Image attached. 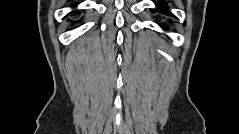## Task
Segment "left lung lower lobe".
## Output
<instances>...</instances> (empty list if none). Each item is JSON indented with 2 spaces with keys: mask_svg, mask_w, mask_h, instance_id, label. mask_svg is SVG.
Instances as JSON below:
<instances>
[{
  "mask_svg": "<svg viewBox=\"0 0 239 134\" xmlns=\"http://www.w3.org/2000/svg\"><path fill=\"white\" fill-rule=\"evenodd\" d=\"M156 5H157L158 7H164V8L167 7L164 0L159 1Z\"/></svg>",
  "mask_w": 239,
  "mask_h": 134,
  "instance_id": "0a47b994",
  "label": "left lung lower lobe"
}]
</instances>
